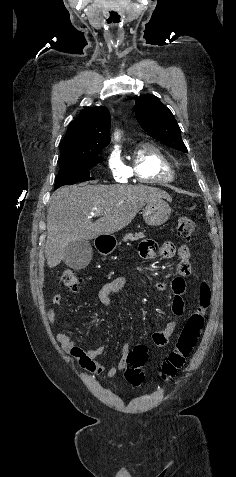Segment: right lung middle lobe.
I'll return each mask as SVG.
<instances>
[{
    "instance_id": "1",
    "label": "right lung middle lobe",
    "mask_w": 236,
    "mask_h": 477,
    "mask_svg": "<svg viewBox=\"0 0 236 477\" xmlns=\"http://www.w3.org/2000/svg\"><path fill=\"white\" fill-rule=\"evenodd\" d=\"M101 150L80 154L71 159L59 161L60 171L56 176L55 189L63 185H72L92 180V178H90L89 169L100 161L98 155Z\"/></svg>"
}]
</instances>
